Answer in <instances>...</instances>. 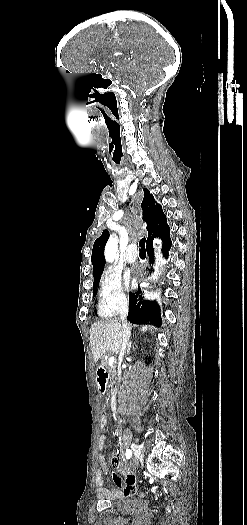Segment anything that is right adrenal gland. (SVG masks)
I'll return each mask as SVG.
<instances>
[{
  "mask_svg": "<svg viewBox=\"0 0 247 525\" xmlns=\"http://www.w3.org/2000/svg\"><path fill=\"white\" fill-rule=\"evenodd\" d=\"M131 345H132V341H130L128 347H127V353H130L131 351Z\"/></svg>",
  "mask_w": 247,
  "mask_h": 525,
  "instance_id": "2a0ac1e0",
  "label": "right adrenal gland"
}]
</instances>
